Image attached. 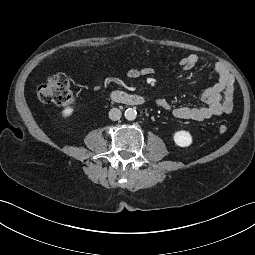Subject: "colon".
<instances>
[{
	"label": "colon",
	"instance_id": "obj_1",
	"mask_svg": "<svg viewBox=\"0 0 255 255\" xmlns=\"http://www.w3.org/2000/svg\"><path fill=\"white\" fill-rule=\"evenodd\" d=\"M36 95L43 103L55 104L63 107L70 106L74 100L69 80L63 73L50 75L45 83L38 86ZM218 131L221 134L226 133L227 126L224 124L219 125Z\"/></svg>",
	"mask_w": 255,
	"mask_h": 255
}]
</instances>
